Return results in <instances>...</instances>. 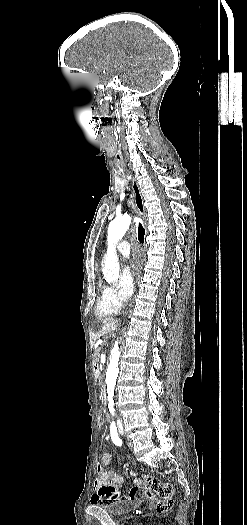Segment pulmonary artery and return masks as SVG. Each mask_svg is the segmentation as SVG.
Here are the masks:
<instances>
[{
	"instance_id": "pulmonary-artery-1",
	"label": "pulmonary artery",
	"mask_w": 247,
	"mask_h": 525,
	"mask_svg": "<svg viewBox=\"0 0 247 525\" xmlns=\"http://www.w3.org/2000/svg\"><path fill=\"white\" fill-rule=\"evenodd\" d=\"M129 246V242L125 240L118 244L117 250L119 251L121 257L127 258L131 255V250L129 249Z\"/></svg>"
}]
</instances>
